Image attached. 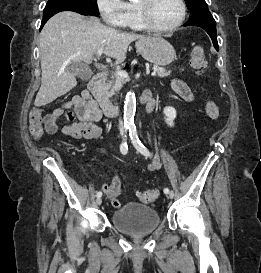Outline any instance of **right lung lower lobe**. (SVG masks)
I'll use <instances>...</instances> for the list:
<instances>
[{"label":"right lung lower lobe","mask_w":261,"mask_h":273,"mask_svg":"<svg viewBox=\"0 0 261 273\" xmlns=\"http://www.w3.org/2000/svg\"><path fill=\"white\" fill-rule=\"evenodd\" d=\"M70 9L74 10V12H78L82 15H91L90 12L87 10L85 5L81 3L80 1H76L75 4L71 5ZM52 16L44 17L41 23L40 29L43 27V25L48 21V19Z\"/></svg>","instance_id":"98d812e1"}]
</instances>
